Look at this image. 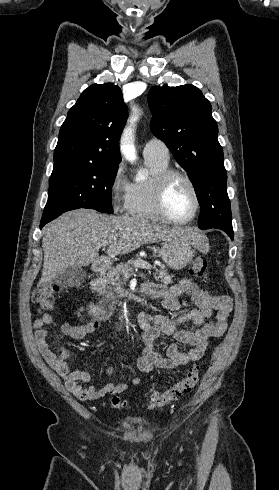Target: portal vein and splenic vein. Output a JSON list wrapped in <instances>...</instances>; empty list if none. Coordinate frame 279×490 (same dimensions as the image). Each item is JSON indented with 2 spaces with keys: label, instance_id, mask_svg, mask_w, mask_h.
Returning <instances> with one entry per match:
<instances>
[{
  "label": "portal vein and splenic vein",
  "instance_id": "portal-vein-and-splenic-vein-1",
  "mask_svg": "<svg viewBox=\"0 0 279 490\" xmlns=\"http://www.w3.org/2000/svg\"><path fill=\"white\" fill-rule=\"evenodd\" d=\"M108 246V242H105V244H102V248H106ZM135 268H145V270H151L152 266L149 264V262H143V260H140V262H134Z\"/></svg>",
  "mask_w": 279,
  "mask_h": 490
}]
</instances>
